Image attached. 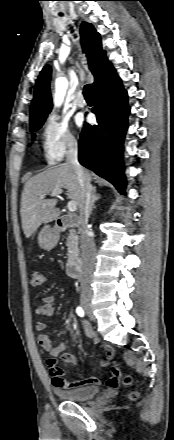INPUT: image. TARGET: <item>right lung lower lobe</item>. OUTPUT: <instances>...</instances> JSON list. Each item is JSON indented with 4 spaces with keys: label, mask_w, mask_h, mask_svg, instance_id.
<instances>
[{
    "label": "right lung lower lobe",
    "mask_w": 174,
    "mask_h": 440,
    "mask_svg": "<svg viewBox=\"0 0 174 440\" xmlns=\"http://www.w3.org/2000/svg\"><path fill=\"white\" fill-rule=\"evenodd\" d=\"M94 92L96 103L92 112L97 124L84 125L79 139V162L125 194L122 149L130 112L128 95L112 66Z\"/></svg>",
    "instance_id": "98d812e1"
}]
</instances>
